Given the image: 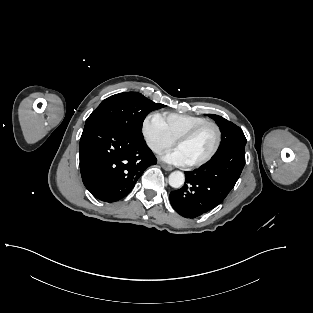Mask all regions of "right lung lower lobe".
<instances>
[{
	"label": "right lung lower lobe",
	"instance_id": "right-lung-lower-lobe-1",
	"mask_svg": "<svg viewBox=\"0 0 313 313\" xmlns=\"http://www.w3.org/2000/svg\"><path fill=\"white\" fill-rule=\"evenodd\" d=\"M79 154L85 187L105 202L125 197L146 168L157 162L143 138L110 123L84 129Z\"/></svg>",
	"mask_w": 313,
	"mask_h": 313
}]
</instances>
